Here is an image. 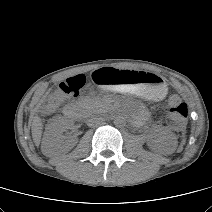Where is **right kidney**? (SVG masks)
Returning a JSON list of instances; mask_svg holds the SVG:
<instances>
[{"label":"right kidney","instance_id":"1","mask_svg":"<svg viewBox=\"0 0 212 212\" xmlns=\"http://www.w3.org/2000/svg\"><path fill=\"white\" fill-rule=\"evenodd\" d=\"M63 129L64 126L58 124L52 130L46 131L41 146L44 155L53 156L66 153L77 143L76 138L60 137Z\"/></svg>","mask_w":212,"mask_h":212}]
</instances>
